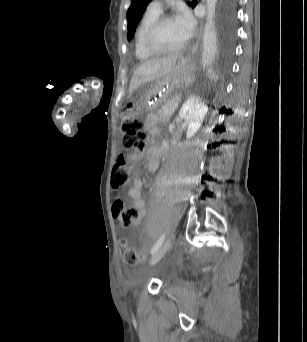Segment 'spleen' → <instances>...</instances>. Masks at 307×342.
I'll use <instances>...</instances> for the list:
<instances>
[{"mask_svg": "<svg viewBox=\"0 0 307 342\" xmlns=\"http://www.w3.org/2000/svg\"><path fill=\"white\" fill-rule=\"evenodd\" d=\"M210 75L213 77V78L211 79V82H212L213 84H216V83L218 82V79L215 77V76L217 75V72H216L215 70H212V71L210 72Z\"/></svg>", "mask_w": 307, "mask_h": 342, "instance_id": "1", "label": "spleen"}]
</instances>
